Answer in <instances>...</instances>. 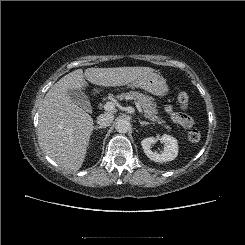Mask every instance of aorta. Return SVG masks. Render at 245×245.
I'll return each mask as SVG.
<instances>
[{
  "label": "aorta",
  "instance_id": "1",
  "mask_svg": "<svg viewBox=\"0 0 245 245\" xmlns=\"http://www.w3.org/2000/svg\"><path fill=\"white\" fill-rule=\"evenodd\" d=\"M115 128L119 133H127L131 130V123L125 118L118 119Z\"/></svg>",
  "mask_w": 245,
  "mask_h": 245
}]
</instances>
